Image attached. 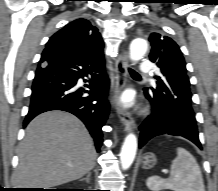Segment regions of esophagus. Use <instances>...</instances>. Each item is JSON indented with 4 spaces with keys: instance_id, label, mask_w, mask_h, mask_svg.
Returning a JSON list of instances; mask_svg holds the SVG:
<instances>
[{
    "instance_id": "obj_1",
    "label": "esophagus",
    "mask_w": 218,
    "mask_h": 191,
    "mask_svg": "<svg viewBox=\"0 0 218 191\" xmlns=\"http://www.w3.org/2000/svg\"><path fill=\"white\" fill-rule=\"evenodd\" d=\"M127 66H128V52L124 50L115 61V97H119L127 84ZM117 114L124 125L125 131L133 128L134 121L131 114L125 111L121 105H117Z\"/></svg>"
}]
</instances>
